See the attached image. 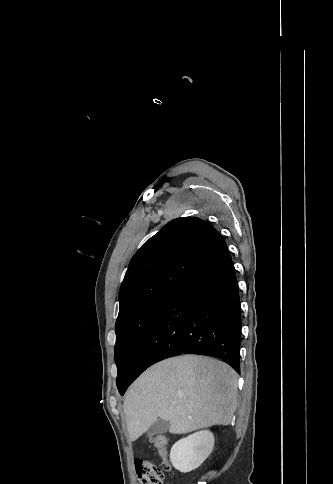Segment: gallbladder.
I'll list each match as a JSON object with an SVG mask.
<instances>
[{
	"instance_id": "obj_1",
	"label": "gallbladder",
	"mask_w": 333,
	"mask_h": 484,
	"mask_svg": "<svg viewBox=\"0 0 333 484\" xmlns=\"http://www.w3.org/2000/svg\"><path fill=\"white\" fill-rule=\"evenodd\" d=\"M169 421L158 419L148 429L147 434L149 437L154 435H162L169 430Z\"/></svg>"
}]
</instances>
